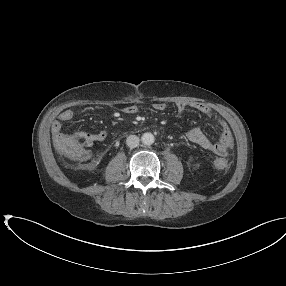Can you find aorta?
Listing matches in <instances>:
<instances>
[{"mask_svg": "<svg viewBox=\"0 0 286 286\" xmlns=\"http://www.w3.org/2000/svg\"><path fill=\"white\" fill-rule=\"evenodd\" d=\"M141 140H142V143L144 145L149 146V145H152L154 143L155 137L152 133L146 132L142 135Z\"/></svg>", "mask_w": 286, "mask_h": 286, "instance_id": "obj_1", "label": "aorta"}]
</instances>
